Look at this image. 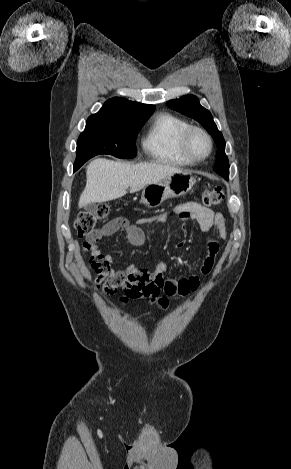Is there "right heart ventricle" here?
I'll use <instances>...</instances> for the list:
<instances>
[{
    "instance_id": "right-heart-ventricle-1",
    "label": "right heart ventricle",
    "mask_w": 291,
    "mask_h": 469,
    "mask_svg": "<svg viewBox=\"0 0 291 469\" xmlns=\"http://www.w3.org/2000/svg\"><path fill=\"white\" fill-rule=\"evenodd\" d=\"M190 124L183 118L162 112L150 121L142 139L146 156L156 162L172 166H192L194 162L186 158L180 148V137Z\"/></svg>"
}]
</instances>
